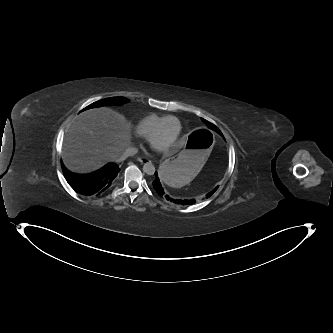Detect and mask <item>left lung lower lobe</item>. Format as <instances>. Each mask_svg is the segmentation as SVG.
<instances>
[{"label":"left lung lower lobe","mask_w":333,"mask_h":333,"mask_svg":"<svg viewBox=\"0 0 333 333\" xmlns=\"http://www.w3.org/2000/svg\"><path fill=\"white\" fill-rule=\"evenodd\" d=\"M222 135V134H221ZM156 175V179L153 181V187L155 189V191L157 192V194L159 196H162V197H165L167 200H170V201H173L174 203L176 204H183V205H190V204H194L195 203V200L192 199V200H175L174 198H172L163 188V186L161 185L160 183V180L158 178V175H157V172L155 173ZM216 190V189H215ZM215 190H213L212 192L209 193V195H212Z\"/></svg>","instance_id":"obj_1"}]
</instances>
